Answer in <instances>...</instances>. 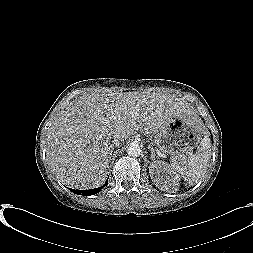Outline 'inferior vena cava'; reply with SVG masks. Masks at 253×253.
<instances>
[{
	"label": "inferior vena cava",
	"mask_w": 253,
	"mask_h": 253,
	"mask_svg": "<svg viewBox=\"0 0 253 253\" xmlns=\"http://www.w3.org/2000/svg\"><path fill=\"white\" fill-rule=\"evenodd\" d=\"M112 144H113L114 146H119V145L121 144V139H120L119 137H114V138L112 139Z\"/></svg>",
	"instance_id": "602c4592"
}]
</instances>
